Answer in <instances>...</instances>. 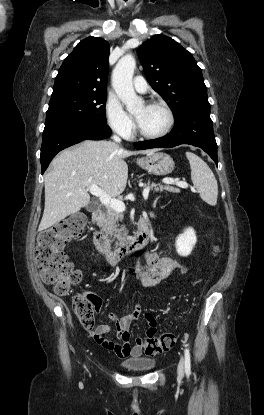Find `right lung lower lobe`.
<instances>
[{
  "mask_svg": "<svg viewBox=\"0 0 264 415\" xmlns=\"http://www.w3.org/2000/svg\"><path fill=\"white\" fill-rule=\"evenodd\" d=\"M110 134L107 122L97 121L74 122L44 129L40 154L42 174L59 151L83 140H102Z\"/></svg>",
  "mask_w": 264,
  "mask_h": 415,
  "instance_id": "right-lung-lower-lobe-1",
  "label": "right lung lower lobe"
}]
</instances>
